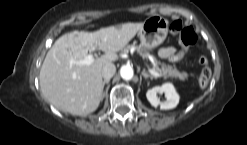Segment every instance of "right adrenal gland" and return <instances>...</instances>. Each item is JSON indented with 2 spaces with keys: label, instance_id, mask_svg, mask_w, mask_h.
I'll return each mask as SVG.
<instances>
[{
  "label": "right adrenal gland",
  "instance_id": "2a0ac1e0",
  "mask_svg": "<svg viewBox=\"0 0 247 145\" xmlns=\"http://www.w3.org/2000/svg\"><path fill=\"white\" fill-rule=\"evenodd\" d=\"M109 79L107 80H104L103 83H102V89H104L105 85L109 83ZM104 98V92L102 93V99Z\"/></svg>",
  "mask_w": 247,
  "mask_h": 145
}]
</instances>
